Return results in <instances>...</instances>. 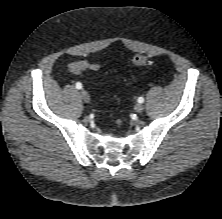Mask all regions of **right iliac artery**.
I'll list each match as a JSON object with an SVG mask.
<instances>
[{
	"label": "right iliac artery",
	"mask_w": 222,
	"mask_h": 219,
	"mask_svg": "<svg viewBox=\"0 0 222 219\" xmlns=\"http://www.w3.org/2000/svg\"><path fill=\"white\" fill-rule=\"evenodd\" d=\"M76 88H77V89H82V84H81L80 82H77V83H76Z\"/></svg>",
	"instance_id": "82829eb1"
}]
</instances>
